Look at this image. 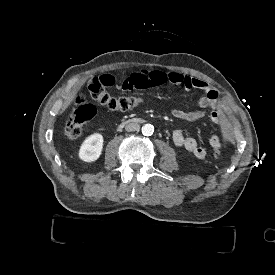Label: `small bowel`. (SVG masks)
Returning a JSON list of instances; mask_svg holds the SVG:
<instances>
[{"instance_id": "1", "label": "small bowel", "mask_w": 275, "mask_h": 275, "mask_svg": "<svg viewBox=\"0 0 275 275\" xmlns=\"http://www.w3.org/2000/svg\"><path fill=\"white\" fill-rule=\"evenodd\" d=\"M103 80L105 84H115L112 75H105ZM163 85H182L188 90L195 89L204 93L198 100V109L190 111L174 109L172 115L175 118L195 121L209 113V118L213 123H221L222 106L219 93L203 80L193 79L176 71L139 70L124 75L118 83V87L123 90L148 89ZM172 141L176 146L184 148L197 159L203 160L207 156L206 149L199 145L195 138L185 136L180 130L174 131ZM208 142L216 152L224 146L222 138L218 135H211Z\"/></svg>"}]
</instances>
